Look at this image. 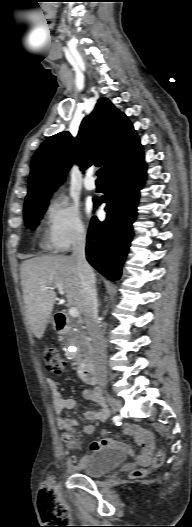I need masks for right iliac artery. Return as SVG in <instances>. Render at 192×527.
<instances>
[{
    "mask_svg": "<svg viewBox=\"0 0 192 527\" xmlns=\"http://www.w3.org/2000/svg\"><path fill=\"white\" fill-rule=\"evenodd\" d=\"M122 417H113L112 425H115L117 429H120L122 427Z\"/></svg>",
    "mask_w": 192,
    "mask_h": 527,
    "instance_id": "right-iliac-artery-1",
    "label": "right iliac artery"
}]
</instances>
